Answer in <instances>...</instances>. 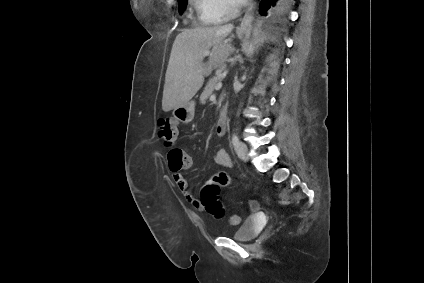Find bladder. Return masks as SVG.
Returning a JSON list of instances; mask_svg holds the SVG:
<instances>
[{
    "label": "bladder",
    "instance_id": "obj_1",
    "mask_svg": "<svg viewBox=\"0 0 424 283\" xmlns=\"http://www.w3.org/2000/svg\"><path fill=\"white\" fill-rule=\"evenodd\" d=\"M262 223L257 217L247 218L241 226L232 234V239L239 242H247L254 239L260 232Z\"/></svg>",
    "mask_w": 424,
    "mask_h": 283
}]
</instances>
